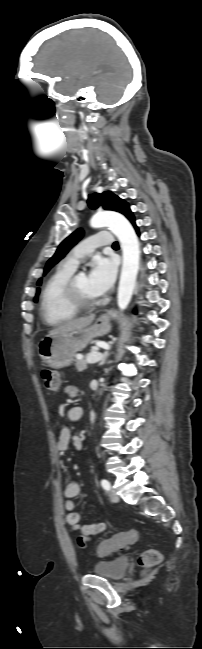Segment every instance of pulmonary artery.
Instances as JSON below:
<instances>
[{"label":"pulmonary artery","instance_id":"obj_1","mask_svg":"<svg viewBox=\"0 0 202 649\" xmlns=\"http://www.w3.org/2000/svg\"><path fill=\"white\" fill-rule=\"evenodd\" d=\"M113 241L114 239L110 232L100 231L77 244L67 255L64 263L73 268H76L80 259L84 255L92 252L97 247H110L111 245H113Z\"/></svg>","mask_w":202,"mask_h":649}]
</instances>
